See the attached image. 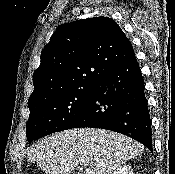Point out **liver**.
<instances>
[{"label":"liver","instance_id":"liver-1","mask_svg":"<svg viewBox=\"0 0 175 174\" xmlns=\"http://www.w3.org/2000/svg\"><path fill=\"white\" fill-rule=\"evenodd\" d=\"M143 152L144 145L120 133L79 128L41 139L28 151L27 159L46 174H71L84 164H88L85 174H112Z\"/></svg>","mask_w":175,"mask_h":174}]
</instances>
